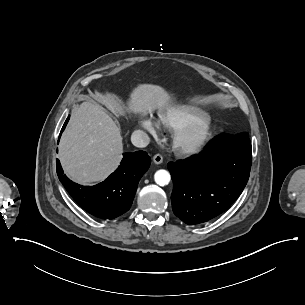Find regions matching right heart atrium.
I'll return each mask as SVG.
<instances>
[{"label": "right heart atrium", "mask_w": 305, "mask_h": 305, "mask_svg": "<svg viewBox=\"0 0 305 305\" xmlns=\"http://www.w3.org/2000/svg\"><path fill=\"white\" fill-rule=\"evenodd\" d=\"M140 126L147 131L153 133L155 131L156 123L152 119H142L140 120Z\"/></svg>", "instance_id": "1"}]
</instances>
